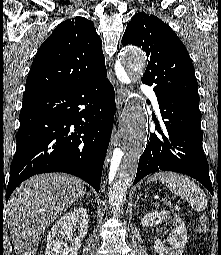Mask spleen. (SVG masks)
Listing matches in <instances>:
<instances>
[{
	"label": "spleen",
	"instance_id": "1",
	"mask_svg": "<svg viewBox=\"0 0 221 255\" xmlns=\"http://www.w3.org/2000/svg\"><path fill=\"white\" fill-rule=\"evenodd\" d=\"M157 180L165 184L173 193L189 200L194 210L200 212L207 208L208 201L205 194L189 178L174 172H158L148 177L147 183Z\"/></svg>",
	"mask_w": 221,
	"mask_h": 255
}]
</instances>
